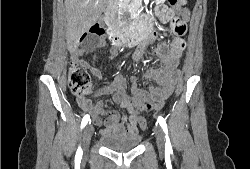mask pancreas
I'll return each mask as SVG.
<instances>
[{"label": "pancreas", "mask_w": 250, "mask_h": 169, "mask_svg": "<svg viewBox=\"0 0 250 169\" xmlns=\"http://www.w3.org/2000/svg\"><path fill=\"white\" fill-rule=\"evenodd\" d=\"M124 4H127V6H131V4H134V0H125Z\"/></svg>", "instance_id": "pancreas-1"}]
</instances>
